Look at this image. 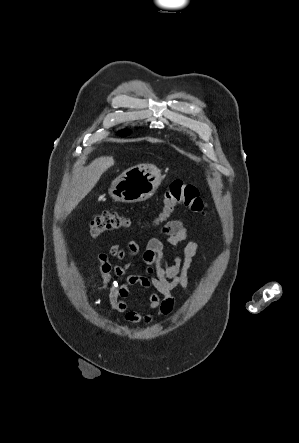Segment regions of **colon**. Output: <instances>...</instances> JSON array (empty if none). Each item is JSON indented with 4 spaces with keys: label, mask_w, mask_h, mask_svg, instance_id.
<instances>
[{
    "label": "colon",
    "mask_w": 299,
    "mask_h": 443,
    "mask_svg": "<svg viewBox=\"0 0 299 443\" xmlns=\"http://www.w3.org/2000/svg\"><path fill=\"white\" fill-rule=\"evenodd\" d=\"M178 205L186 206L198 215H206L205 204L197 187L182 180H174L164 194L163 208L157 217V222L169 218ZM130 220L116 211H104L97 215L90 223L88 234L95 239L105 232L129 226Z\"/></svg>",
    "instance_id": "colon-1"
}]
</instances>
